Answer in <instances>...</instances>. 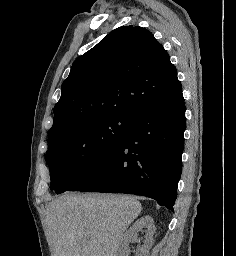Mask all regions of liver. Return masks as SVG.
<instances>
[{
    "mask_svg": "<svg viewBox=\"0 0 236 256\" xmlns=\"http://www.w3.org/2000/svg\"><path fill=\"white\" fill-rule=\"evenodd\" d=\"M133 196L63 194L46 208L54 256H118L124 232L141 214Z\"/></svg>",
    "mask_w": 236,
    "mask_h": 256,
    "instance_id": "1",
    "label": "liver"
}]
</instances>
